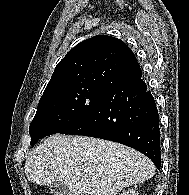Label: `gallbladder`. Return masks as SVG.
Returning a JSON list of instances; mask_svg holds the SVG:
<instances>
[{"instance_id":"bac80fb5","label":"gallbladder","mask_w":189,"mask_h":195,"mask_svg":"<svg viewBox=\"0 0 189 195\" xmlns=\"http://www.w3.org/2000/svg\"><path fill=\"white\" fill-rule=\"evenodd\" d=\"M49 190L55 195H68V186L64 183L55 182L49 186Z\"/></svg>"}]
</instances>
